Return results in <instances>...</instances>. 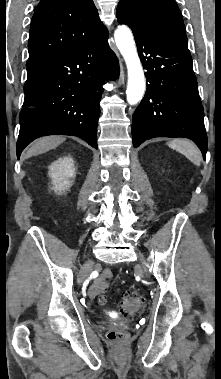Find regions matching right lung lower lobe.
Wrapping results in <instances>:
<instances>
[{
	"label": "right lung lower lobe",
	"instance_id": "1",
	"mask_svg": "<svg viewBox=\"0 0 221 379\" xmlns=\"http://www.w3.org/2000/svg\"><path fill=\"white\" fill-rule=\"evenodd\" d=\"M107 40L105 28L75 48L26 65L18 158L30 142L45 135L78 136L97 149L103 85L119 75Z\"/></svg>",
	"mask_w": 221,
	"mask_h": 379
}]
</instances>
